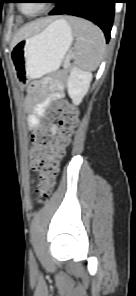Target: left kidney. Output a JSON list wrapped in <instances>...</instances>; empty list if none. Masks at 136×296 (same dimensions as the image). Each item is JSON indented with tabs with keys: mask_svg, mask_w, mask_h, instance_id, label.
<instances>
[{
	"mask_svg": "<svg viewBox=\"0 0 136 296\" xmlns=\"http://www.w3.org/2000/svg\"><path fill=\"white\" fill-rule=\"evenodd\" d=\"M92 73L74 67L67 81V91L74 105H79L88 92Z\"/></svg>",
	"mask_w": 136,
	"mask_h": 296,
	"instance_id": "obj_1",
	"label": "left kidney"
}]
</instances>
